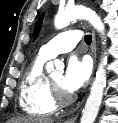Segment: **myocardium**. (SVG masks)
<instances>
[{"instance_id": "f54148a6", "label": "myocardium", "mask_w": 118, "mask_h": 123, "mask_svg": "<svg viewBox=\"0 0 118 123\" xmlns=\"http://www.w3.org/2000/svg\"><path fill=\"white\" fill-rule=\"evenodd\" d=\"M49 88L51 92L52 99L58 106H65L70 104L74 97L70 93L63 92L58 88L51 79L48 78Z\"/></svg>"}]
</instances>
